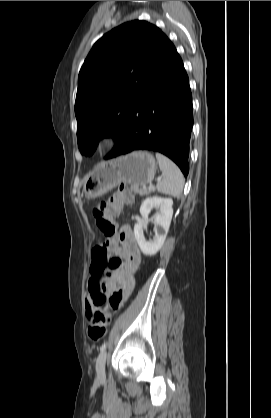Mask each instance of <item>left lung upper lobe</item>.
<instances>
[{
  "mask_svg": "<svg viewBox=\"0 0 271 418\" xmlns=\"http://www.w3.org/2000/svg\"><path fill=\"white\" fill-rule=\"evenodd\" d=\"M172 45L159 28L139 20L114 28L94 44L79 73L75 102L82 154L92 155L103 137L119 136Z\"/></svg>",
  "mask_w": 271,
  "mask_h": 418,
  "instance_id": "5c2ea615",
  "label": "left lung upper lobe"
}]
</instances>
